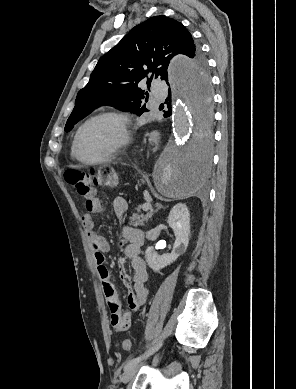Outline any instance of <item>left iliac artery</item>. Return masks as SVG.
Listing matches in <instances>:
<instances>
[{
  "mask_svg": "<svg viewBox=\"0 0 296 389\" xmlns=\"http://www.w3.org/2000/svg\"><path fill=\"white\" fill-rule=\"evenodd\" d=\"M159 346H160V344L157 345L156 347L152 348V350H150V352L148 354H152L155 350L158 349ZM143 357H144V355L138 356L136 358H133V359L129 360L127 362V364L125 365L124 370L126 371L129 368H131V367L135 366L136 364H138Z\"/></svg>",
  "mask_w": 296,
  "mask_h": 389,
  "instance_id": "left-iliac-artery-1",
  "label": "left iliac artery"
}]
</instances>
